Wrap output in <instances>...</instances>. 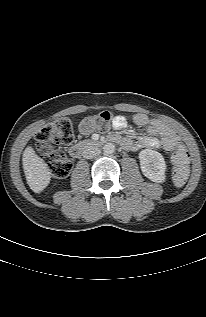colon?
Returning a JSON list of instances; mask_svg holds the SVG:
<instances>
[{
    "mask_svg": "<svg viewBox=\"0 0 206 317\" xmlns=\"http://www.w3.org/2000/svg\"><path fill=\"white\" fill-rule=\"evenodd\" d=\"M113 118V114L109 111L98 112L84 118L80 129L85 133L101 132L109 127ZM73 140V124L68 117L57 119L41 128L36 134V150L55 178L62 179L70 173L71 161L59 146L69 145ZM164 147L173 151V180L181 185L189 174V153L176 136L167 138Z\"/></svg>",
    "mask_w": 206,
    "mask_h": 317,
    "instance_id": "obj_1",
    "label": "colon"
}]
</instances>
